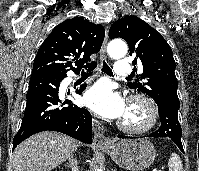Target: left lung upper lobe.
<instances>
[{
    "label": "left lung upper lobe",
    "mask_w": 199,
    "mask_h": 171,
    "mask_svg": "<svg viewBox=\"0 0 199 171\" xmlns=\"http://www.w3.org/2000/svg\"><path fill=\"white\" fill-rule=\"evenodd\" d=\"M109 38L124 39L130 56L135 57L133 63L143 66L141 79L145 82H130L129 88L149 95L157 105L180 108L173 52L160 33L136 16H125L110 27Z\"/></svg>",
    "instance_id": "1"
}]
</instances>
